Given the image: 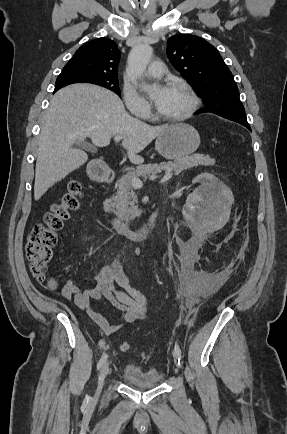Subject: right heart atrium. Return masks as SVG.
Returning a JSON list of instances; mask_svg holds the SVG:
<instances>
[{
  "instance_id": "d8ad5b80",
  "label": "right heart atrium",
  "mask_w": 287,
  "mask_h": 434,
  "mask_svg": "<svg viewBox=\"0 0 287 434\" xmlns=\"http://www.w3.org/2000/svg\"><path fill=\"white\" fill-rule=\"evenodd\" d=\"M123 96L126 106L132 114L138 116H148L150 114V104L135 87L125 84L123 87Z\"/></svg>"
}]
</instances>
